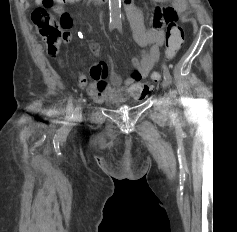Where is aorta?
I'll return each mask as SVG.
<instances>
[{
	"label": "aorta",
	"mask_w": 237,
	"mask_h": 232,
	"mask_svg": "<svg viewBox=\"0 0 237 232\" xmlns=\"http://www.w3.org/2000/svg\"><path fill=\"white\" fill-rule=\"evenodd\" d=\"M110 22L119 23L121 21V0H109Z\"/></svg>",
	"instance_id": "762f6f07"
}]
</instances>
